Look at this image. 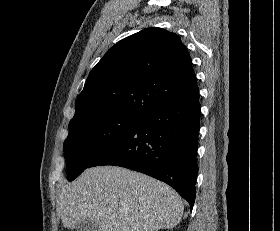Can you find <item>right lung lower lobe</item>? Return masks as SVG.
<instances>
[{
  "instance_id": "right-lung-lower-lobe-1",
  "label": "right lung lower lobe",
  "mask_w": 280,
  "mask_h": 231,
  "mask_svg": "<svg viewBox=\"0 0 280 231\" xmlns=\"http://www.w3.org/2000/svg\"><path fill=\"white\" fill-rule=\"evenodd\" d=\"M200 116L199 94L163 104L144 115L87 168L114 165L145 173L172 186L192 209Z\"/></svg>"
}]
</instances>
